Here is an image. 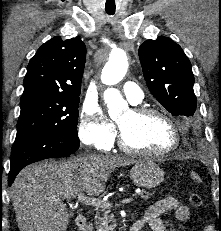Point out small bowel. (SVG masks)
<instances>
[{
  "mask_svg": "<svg viewBox=\"0 0 221 231\" xmlns=\"http://www.w3.org/2000/svg\"><path fill=\"white\" fill-rule=\"evenodd\" d=\"M167 211H174L175 218L179 222L188 223L191 221L190 209L181 204L176 198L169 196L149 206L144 218L137 221L140 230L148 227L152 231H179L176 228L168 226L161 218V215ZM202 231H214V229L211 226H206Z\"/></svg>",
  "mask_w": 221,
  "mask_h": 231,
  "instance_id": "obj_1",
  "label": "small bowel"
}]
</instances>
